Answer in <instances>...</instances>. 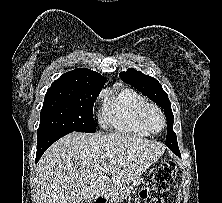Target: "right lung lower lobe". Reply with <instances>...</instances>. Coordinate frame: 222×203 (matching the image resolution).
Listing matches in <instances>:
<instances>
[{
  "mask_svg": "<svg viewBox=\"0 0 222 203\" xmlns=\"http://www.w3.org/2000/svg\"><path fill=\"white\" fill-rule=\"evenodd\" d=\"M71 132H55L49 133L47 135L39 136L37 140V152H36V163L41 158L42 154L46 151V149L53 144L55 141L60 139L61 137L69 134Z\"/></svg>",
  "mask_w": 222,
  "mask_h": 203,
  "instance_id": "98d812e1",
  "label": "right lung lower lobe"
}]
</instances>
